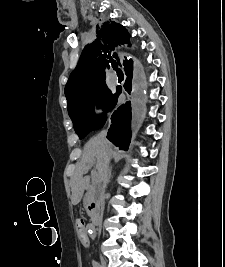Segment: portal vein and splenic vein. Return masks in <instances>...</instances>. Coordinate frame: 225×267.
<instances>
[{
    "label": "portal vein and splenic vein",
    "instance_id": "portal-vein-and-splenic-vein-1",
    "mask_svg": "<svg viewBox=\"0 0 225 267\" xmlns=\"http://www.w3.org/2000/svg\"><path fill=\"white\" fill-rule=\"evenodd\" d=\"M93 175L95 176V175H96V173L94 172V173H93Z\"/></svg>",
    "mask_w": 225,
    "mask_h": 267
}]
</instances>
